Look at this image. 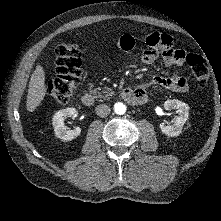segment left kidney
<instances>
[{
  "label": "left kidney",
  "instance_id": "1",
  "mask_svg": "<svg viewBox=\"0 0 221 221\" xmlns=\"http://www.w3.org/2000/svg\"><path fill=\"white\" fill-rule=\"evenodd\" d=\"M165 110L176 109L178 116L174 119L173 125L160 124V130L163 134L173 137L178 136L182 132V128L189 117V106L177 99L167 100L164 103Z\"/></svg>",
  "mask_w": 221,
  "mask_h": 221
}]
</instances>
